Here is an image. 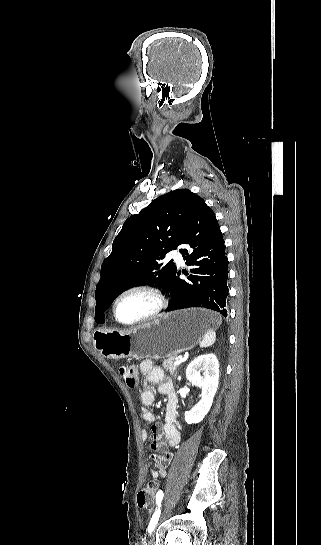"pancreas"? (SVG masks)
Listing matches in <instances>:
<instances>
[{
	"label": "pancreas",
	"mask_w": 321,
	"mask_h": 545,
	"mask_svg": "<svg viewBox=\"0 0 321 545\" xmlns=\"http://www.w3.org/2000/svg\"><path fill=\"white\" fill-rule=\"evenodd\" d=\"M174 361H176L175 357H170V359H164L163 367L164 369H166V371H170V375H174V377H176L178 365H174Z\"/></svg>",
	"instance_id": "cf45deb5"
}]
</instances>
